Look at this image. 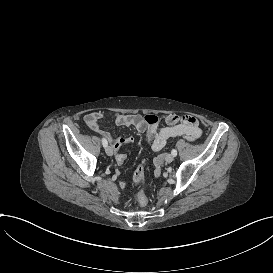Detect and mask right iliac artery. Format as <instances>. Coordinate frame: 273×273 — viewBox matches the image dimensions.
<instances>
[{"label":"right iliac artery","mask_w":273,"mask_h":273,"mask_svg":"<svg viewBox=\"0 0 273 273\" xmlns=\"http://www.w3.org/2000/svg\"><path fill=\"white\" fill-rule=\"evenodd\" d=\"M102 144H103V147H107L108 143L105 138L102 139Z\"/></svg>","instance_id":"1"}]
</instances>
